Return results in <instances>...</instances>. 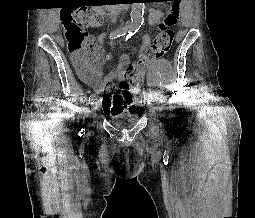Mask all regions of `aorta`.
Masks as SVG:
<instances>
[{
	"label": "aorta",
	"instance_id": "aorta-1",
	"mask_svg": "<svg viewBox=\"0 0 255 218\" xmlns=\"http://www.w3.org/2000/svg\"><path fill=\"white\" fill-rule=\"evenodd\" d=\"M143 3H132L131 11V23L128 25V29L136 31L140 28L143 23Z\"/></svg>",
	"mask_w": 255,
	"mask_h": 218
}]
</instances>
